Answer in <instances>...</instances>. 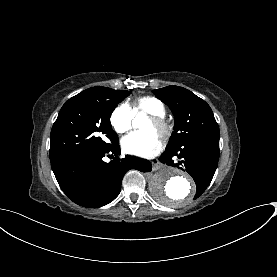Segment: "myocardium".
I'll return each instance as SVG.
<instances>
[{"instance_id": "obj_1", "label": "myocardium", "mask_w": 277, "mask_h": 277, "mask_svg": "<svg viewBox=\"0 0 277 277\" xmlns=\"http://www.w3.org/2000/svg\"><path fill=\"white\" fill-rule=\"evenodd\" d=\"M150 119L153 121L157 128V134L165 138L170 134V126L167 123L166 119L161 115L151 114Z\"/></svg>"}]
</instances>
